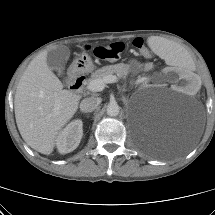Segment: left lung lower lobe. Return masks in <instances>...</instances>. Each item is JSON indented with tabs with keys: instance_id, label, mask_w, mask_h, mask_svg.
I'll use <instances>...</instances> for the list:
<instances>
[{
	"instance_id": "left-lung-lower-lobe-1",
	"label": "left lung lower lobe",
	"mask_w": 215,
	"mask_h": 215,
	"mask_svg": "<svg viewBox=\"0 0 215 215\" xmlns=\"http://www.w3.org/2000/svg\"><path fill=\"white\" fill-rule=\"evenodd\" d=\"M175 152H176L175 149H167L163 153L165 155H173Z\"/></svg>"
}]
</instances>
